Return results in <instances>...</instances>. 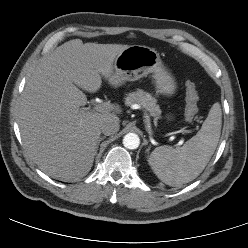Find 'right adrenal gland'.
Instances as JSON below:
<instances>
[{"instance_id": "obj_1", "label": "right adrenal gland", "mask_w": 248, "mask_h": 248, "mask_svg": "<svg viewBox=\"0 0 248 248\" xmlns=\"http://www.w3.org/2000/svg\"><path fill=\"white\" fill-rule=\"evenodd\" d=\"M104 138H105V136L99 138L98 143H97V150H98V146H99L100 142H101L102 140H104Z\"/></svg>"}]
</instances>
